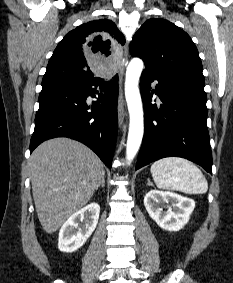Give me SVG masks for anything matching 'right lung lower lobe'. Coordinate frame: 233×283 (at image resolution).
I'll list each match as a JSON object with an SVG mask.
<instances>
[{
  "label": "right lung lower lobe",
  "instance_id": "right-lung-lower-lobe-1",
  "mask_svg": "<svg viewBox=\"0 0 233 283\" xmlns=\"http://www.w3.org/2000/svg\"><path fill=\"white\" fill-rule=\"evenodd\" d=\"M92 106L88 96L95 97ZM118 77L89 81H52L42 84L30 153L43 141L69 137L91 148L111 168L117 138ZM91 108V112L87 110Z\"/></svg>",
  "mask_w": 233,
  "mask_h": 283
}]
</instances>
